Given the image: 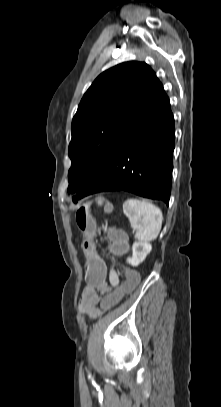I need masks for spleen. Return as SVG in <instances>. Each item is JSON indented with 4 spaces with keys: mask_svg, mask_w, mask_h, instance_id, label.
<instances>
[{
    "mask_svg": "<svg viewBox=\"0 0 221 407\" xmlns=\"http://www.w3.org/2000/svg\"><path fill=\"white\" fill-rule=\"evenodd\" d=\"M123 212L136 231V239L149 242L157 238L163 222L159 207L145 200L130 198L124 202Z\"/></svg>",
    "mask_w": 221,
    "mask_h": 407,
    "instance_id": "spleen-1",
    "label": "spleen"
}]
</instances>
